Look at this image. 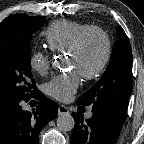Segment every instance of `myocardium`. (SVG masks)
I'll return each instance as SVG.
<instances>
[{
    "label": "myocardium",
    "mask_w": 144,
    "mask_h": 144,
    "mask_svg": "<svg viewBox=\"0 0 144 144\" xmlns=\"http://www.w3.org/2000/svg\"><path fill=\"white\" fill-rule=\"evenodd\" d=\"M91 35H98L102 38L103 43H104V54H103V57H102L100 63L93 70H91L89 72H80V75L86 80H93V79L98 78L106 69V67L110 61L111 55H112L111 39H110L108 33L99 27H91V28L85 30L84 32H82L75 40L72 47L69 49V51H68L69 54L73 55V56L80 55L86 40Z\"/></svg>",
    "instance_id": "1"
}]
</instances>
